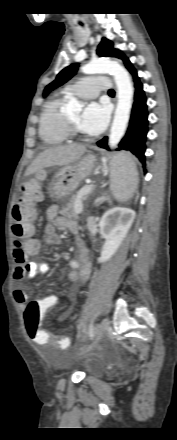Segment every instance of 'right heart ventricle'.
<instances>
[{"label":"right heart ventricle","mask_w":177,"mask_h":440,"mask_svg":"<svg viewBox=\"0 0 177 440\" xmlns=\"http://www.w3.org/2000/svg\"><path fill=\"white\" fill-rule=\"evenodd\" d=\"M70 93L65 89L45 104L39 120V137L47 146L63 144L68 139L62 107Z\"/></svg>","instance_id":"1"}]
</instances>
